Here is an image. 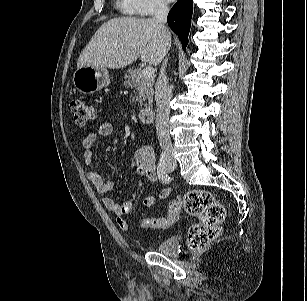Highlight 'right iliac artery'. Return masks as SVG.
Listing matches in <instances>:
<instances>
[{"label": "right iliac artery", "instance_id": "obj_1", "mask_svg": "<svg viewBox=\"0 0 307 301\" xmlns=\"http://www.w3.org/2000/svg\"><path fill=\"white\" fill-rule=\"evenodd\" d=\"M166 162H167L166 153L162 152L158 163V177L162 183L169 184L170 177L166 171Z\"/></svg>", "mask_w": 307, "mask_h": 301}]
</instances>
